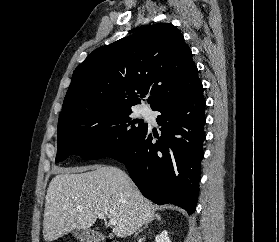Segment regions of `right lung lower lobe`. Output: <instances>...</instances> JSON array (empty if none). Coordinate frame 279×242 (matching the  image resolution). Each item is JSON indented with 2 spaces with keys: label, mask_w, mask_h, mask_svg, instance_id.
Returning <instances> with one entry per match:
<instances>
[{
  "label": "right lung lower lobe",
  "mask_w": 279,
  "mask_h": 242,
  "mask_svg": "<svg viewBox=\"0 0 279 242\" xmlns=\"http://www.w3.org/2000/svg\"><path fill=\"white\" fill-rule=\"evenodd\" d=\"M205 107L201 85L155 109L161 113L160 138L147 128L127 148L110 156L125 164L133 182L154 203H172L188 214L195 212L206 138Z\"/></svg>",
  "instance_id": "98d812e1"
}]
</instances>
